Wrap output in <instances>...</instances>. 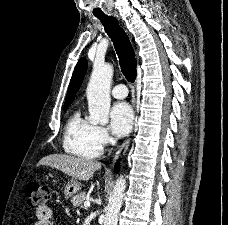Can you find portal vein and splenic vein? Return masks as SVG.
Wrapping results in <instances>:
<instances>
[{
	"label": "portal vein and splenic vein",
	"instance_id": "portal-vein-and-splenic-vein-1",
	"mask_svg": "<svg viewBox=\"0 0 228 225\" xmlns=\"http://www.w3.org/2000/svg\"><path fill=\"white\" fill-rule=\"evenodd\" d=\"M84 207H90V203H88V201H86V203H84Z\"/></svg>",
	"mask_w": 228,
	"mask_h": 225
}]
</instances>
